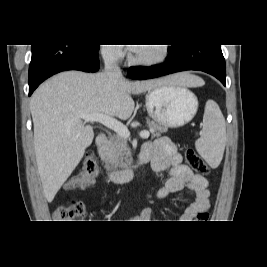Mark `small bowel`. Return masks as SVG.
I'll return each instance as SVG.
<instances>
[{
    "label": "small bowel",
    "instance_id": "obj_1",
    "mask_svg": "<svg viewBox=\"0 0 267 267\" xmlns=\"http://www.w3.org/2000/svg\"><path fill=\"white\" fill-rule=\"evenodd\" d=\"M140 156L148 158L156 174L164 172L168 174L164 185L156 191L157 198L165 199L170 194L183 189H189L194 193L195 200L182 215V222H189L198 212L209 208L210 193L207 188V180L203 176L193 173L187 165L182 163L181 155L168 138L160 137L144 143ZM91 183L92 179L86 183H80L74 178L69 184V188H80ZM152 219L153 211L151 209L144 210L139 216V220L142 222H152Z\"/></svg>",
    "mask_w": 267,
    "mask_h": 267
}]
</instances>
